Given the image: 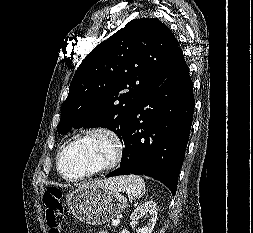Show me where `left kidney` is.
<instances>
[{
  "instance_id": "left-kidney-1",
  "label": "left kidney",
  "mask_w": 253,
  "mask_h": 233,
  "mask_svg": "<svg viewBox=\"0 0 253 233\" xmlns=\"http://www.w3.org/2000/svg\"><path fill=\"white\" fill-rule=\"evenodd\" d=\"M149 213V215H147ZM147 215V223L139 229L138 233H152L157 220V206L153 200L144 202L138 206L131 214L130 220L137 222L141 217Z\"/></svg>"
}]
</instances>
